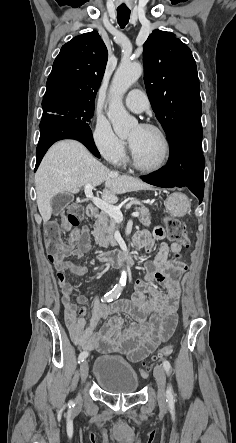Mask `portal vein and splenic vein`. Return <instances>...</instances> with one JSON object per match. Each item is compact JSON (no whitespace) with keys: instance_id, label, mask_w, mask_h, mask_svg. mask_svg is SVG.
<instances>
[{"instance_id":"portal-vein-and-splenic-vein-1","label":"portal vein and splenic vein","mask_w":236,"mask_h":443,"mask_svg":"<svg viewBox=\"0 0 236 443\" xmlns=\"http://www.w3.org/2000/svg\"><path fill=\"white\" fill-rule=\"evenodd\" d=\"M93 186L91 184H87L84 187L85 195L87 198H90L93 204L98 207L102 212L107 213L109 216L115 219L117 222L123 221V214L119 207L113 206L111 204L106 203L105 201L94 197L92 192ZM133 217H139L138 212L132 213Z\"/></svg>"}]
</instances>
